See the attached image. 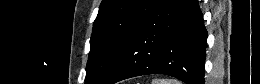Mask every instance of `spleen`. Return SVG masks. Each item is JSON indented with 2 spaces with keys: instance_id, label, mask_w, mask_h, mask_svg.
<instances>
[{
  "instance_id": "spleen-1",
  "label": "spleen",
  "mask_w": 260,
  "mask_h": 84,
  "mask_svg": "<svg viewBox=\"0 0 260 84\" xmlns=\"http://www.w3.org/2000/svg\"><path fill=\"white\" fill-rule=\"evenodd\" d=\"M152 84H181V82L176 79H153Z\"/></svg>"
}]
</instances>
